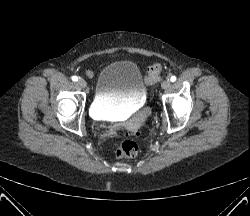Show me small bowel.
Wrapping results in <instances>:
<instances>
[{
    "label": "small bowel",
    "mask_w": 250,
    "mask_h": 216,
    "mask_svg": "<svg viewBox=\"0 0 250 216\" xmlns=\"http://www.w3.org/2000/svg\"><path fill=\"white\" fill-rule=\"evenodd\" d=\"M88 75H89V76H91V75H92V73H91V72H88Z\"/></svg>",
    "instance_id": "1"
}]
</instances>
